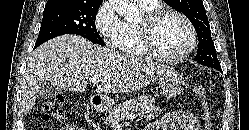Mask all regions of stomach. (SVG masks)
<instances>
[{"label": "stomach", "instance_id": "stomach-1", "mask_svg": "<svg viewBox=\"0 0 249 130\" xmlns=\"http://www.w3.org/2000/svg\"><path fill=\"white\" fill-rule=\"evenodd\" d=\"M186 84L184 79L175 71L166 72L159 78V87L161 94L165 97H175L180 95ZM113 105V101L108 98H102L99 108L109 111Z\"/></svg>", "mask_w": 249, "mask_h": 130}]
</instances>
